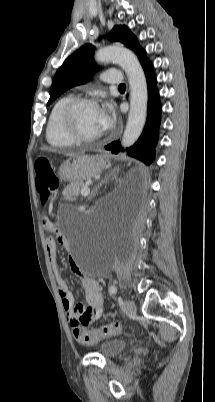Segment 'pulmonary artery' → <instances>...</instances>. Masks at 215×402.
Segmentation results:
<instances>
[{
    "label": "pulmonary artery",
    "instance_id": "obj_1",
    "mask_svg": "<svg viewBox=\"0 0 215 402\" xmlns=\"http://www.w3.org/2000/svg\"><path fill=\"white\" fill-rule=\"evenodd\" d=\"M103 81L111 84H120L122 83V76L118 71L108 70L102 74Z\"/></svg>",
    "mask_w": 215,
    "mask_h": 402
}]
</instances>
